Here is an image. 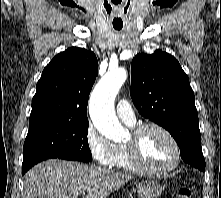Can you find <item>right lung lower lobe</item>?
<instances>
[{
	"label": "right lung lower lobe",
	"mask_w": 221,
	"mask_h": 198,
	"mask_svg": "<svg viewBox=\"0 0 221 198\" xmlns=\"http://www.w3.org/2000/svg\"><path fill=\"white\" fill-rule=\"evenodd\" d=\"M50 158H59V159H66V160H73V161H79L76 158H72V157H68V156H55V157H50ZM49 159V158H47ZM46 160V159H44ZM43 161V160H42ZM40 162V161H39ZM37 164V163H36ZM35 165V164H34ZM33 166V165H32ZM32 166L26 167V168H22L23 174L26 173Z\"/></svg>",
	"instance_id": "1"
}]
</instances>
